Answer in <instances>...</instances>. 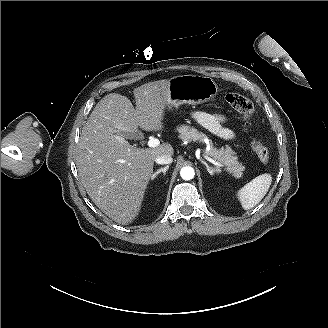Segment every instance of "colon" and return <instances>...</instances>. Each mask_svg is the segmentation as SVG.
<instances>
[{
  "mask_svg": "<svg viewBox=\"0 0 328 328\" xmlns=\"http://www.w3.org/2000/svg\"><path fill=\"white\" fill-rule=\"evenodd\" d=\"M226 102L236 110L244 121L245 129L250 131L254 117V106L251 100L241 94L230 92L225 96ZM251 149L256 157L263 163L268 162L270 152L268 148L257 138H253L250 143Z\"/></svg>",
  "mask_w": 328,
  "mask_h": 328,
  "instance_id": "colon-1",
  "label": "colon"
}]
</instances>
